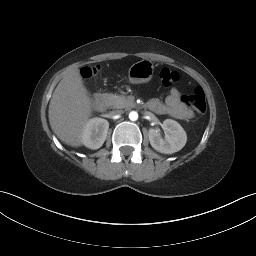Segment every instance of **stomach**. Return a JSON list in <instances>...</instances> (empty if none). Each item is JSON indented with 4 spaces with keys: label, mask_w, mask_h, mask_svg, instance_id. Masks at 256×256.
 Instances as JSON below:
<instances>
[{
    "label": "stomach",
    "mask_w": 256,
    "mask_h": 256,
    "mask_svg": "<svg viewBox=\"0 0 256 256\" xmlns=\"http://www.w3.org/2000/svg\"><path fill=\"white\" fill-rule=\"evenodd\" d=\"M154 73V65L149 60L134 63L128 70V80L132 84L149 82Z\"/></svg>",
    "instance_id": "obj_1"
}]
</instances>
